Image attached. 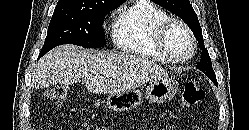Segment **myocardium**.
Returning a JSON list of instances; mask_svg holds the SVG:
<instances>
[{
	"mask_svg": "<svg viewBox=\"0 0 249 130\" xmlns=\"http://www.w3.org/2000/svg\"><path fill=\"white\" fill-rule=\"evenodd\" d=\"M175 25L181 27L186 32L191 42V51L185 58L175 57L169 52L167 47V35L170 29ZM155 43L158 51L167 61L178 64L190 61L197 51V41L192 30L184 21L178 18L168 17L166 20L159 24L155 32Z\"/></svg>",
	"mask_w": 249,
	"mask_h": 130,
	"instance_id": "f54148a6",
	"label": "myocardium"
}]
</instances>
